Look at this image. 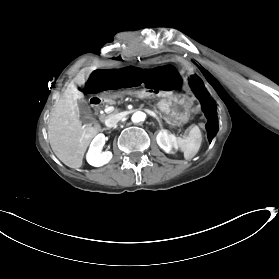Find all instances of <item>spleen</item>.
<instances>
[{"mask_svg": "<svg viewBox=\"0 0 279 279\" xmlns=\"http://www.w3.org/2000/svg\"><path fill=\"white\" fill-rule=\"evenodd\" d=\"M200 133L196 127L191 129L189 136L186 139L177 141V145L184 152L185 159H192L200 148Z\"/></svg>", "mask_w": 279, "mask_h": 279, "instance_id": "1", "label": "spleen"}]
</instances>
